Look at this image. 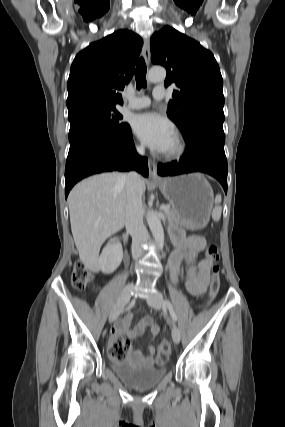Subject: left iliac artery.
Listing matches in <instances>:
<instances>
[{
    "label": "left iliac artery",
    "instance_id": "left-iliac-artery-1",
    "mask_svg": "<svg viewBox=\"0 0 285 427\" xmlns=\"http://www.w3.org/2000/svg\"><path fill=\"white\" fill-rule=\"evenodd\" d=\"M165 306L168 308L171 318L173 319V321H177V315L173 309V306L171 304V302L169 300H165L164 301Z\"/></svg>",
    "mask_w": 285,
    "mask_h": 427
}]
</instances>
